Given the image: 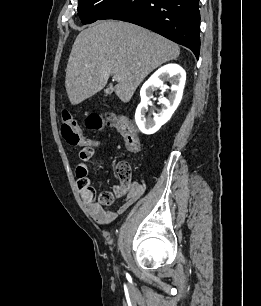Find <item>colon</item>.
I'll use <instances>...</instances> for the list:
<instances>
[{"instance_id":"1","label":"colon","mask_w":261,"mask_h":306,"mask_svg":"<svg viewBox=\"0 0 261 306\" xmlns=\"http://www.w3.org/2000/svg\"><path fill=\"white\" fill-rule=\"evenodd\" d=\"M60 119L61 133L63 138L70 145L81 148V158L87 157L92 150V140L86 138L83 135L78 122L68 109H61ZM106 124L113 126L119 132L128 151L133 153L139 151L140 143L135 129L130 121L125 117L107 116L106 118H103L97 114H91L86 121L87 127L91 130H99ZM116 173L121 181V187L123 189L127 188L129 186L131 177V170L129 165L125 162L119 163L116 167ZM78 186L80 189L93 191L89 179L85 176L78 179ZM117 196H119V193L116 190L106 191L102 193V195L98 198V202L108 206L114 203ZM94 198L95 195H93V200Z\"/></svg>"}]
</instances>
